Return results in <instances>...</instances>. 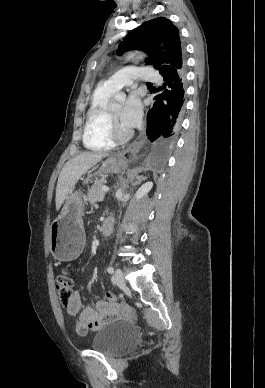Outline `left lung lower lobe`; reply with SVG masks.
<instances>
[{
    "label": "left lung lower lobe",
    "instance_id": "obj_1",
    "mask_svg": "<svg viewBox=\"0 0 265 388\" xmlns=\"http://www.w3.org/2000/svg\"><path fill=\"white\" fill-rule=\"evenodd\" d=\"M185 66L162 75L164 83L157 88L154 105L149 110L147 135L152 142L149 163L161 168L174 144L182 122L185 108Z\"/></svg>",
    "mask_w": 265,
    "mask_h": 388
}]
</instances>
